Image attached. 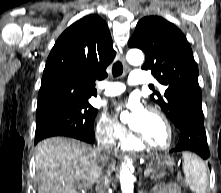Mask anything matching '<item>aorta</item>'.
I'll use <instances>...</instances> for the list:
<instances>
[{
	"label": "aorta",
	"instance_id": "762f6f07",
	"mask_svg": "<svg viewBox=\"0 0 221 193\" xmlns=\"http://www.w3.org/2000/svg\"><path fill=\"white\" fill-rule=\"evenodd\" d=\"M127 61L129 64L134 66L142 65L144 62V54L139 49H131L127 53ZM126 113H123L121 115V118H123V115ZM131 162L127 160V163L122 165V168L120 170V184H121V190L122 193H133L134 190V176L131 174L129 170V165Z\"/></svg>",
	"mask_w": 221,
	"mask_h": 193
}]
</instances>
